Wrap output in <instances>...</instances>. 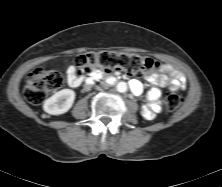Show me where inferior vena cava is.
I'll return each instance as SVG.
<instances>
[{"instance_id":"602c4592","label":"inferior vena cava","mask_w":222,"mask_h":187,"mask_svg":"<svg viewBox=\"0 0 222 187\" xmlns=\"http://www.w3.org/2000/svg\"><path fill=\"white\" fill-rule=\"evenodd\" d=\"M109 85L105 81L100 82V87L99 89H107Z\"/></svg>"}]
</instances>
